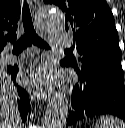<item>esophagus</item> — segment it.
<instances>
[{
  "label": "esophagus",
  "mask_w": 125,
  "mask_h": 128,
  "mask_svg": "<svg viewBox=\"0 0 125 128\" xmlns=\"http://www.w3.org/2000/svg\"><path fill=\"white\" fill-rule=\"evenodd\" d=\"M28 2H29V5H30L31 7L34 6L32 0H28ZM49 96H50L49 93H46V92H38V94H37V99H38L39 101H47V100L49 99Z\"/></svg>",
  "instance_id": "1"
}]
</instances>
